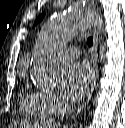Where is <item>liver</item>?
Here are the masks:
<instances>
[{
	"instance_id": "6515ba94",
	"label": "liver",
	"mask_w": 125,
	"mask_h": 128,
	"mask_svg": "<svg viewBox=\"0 0 125 128\" xmlns=\"http://www.w3.org/2000/svg\"><path fill=\"white\" fill-rule=\"evenodd\" d=\"M18 127H19V128H30L31 125L28 124V123L23 122V123L19 124Z\"/></svg>"
}]
</instances>
